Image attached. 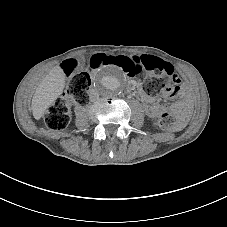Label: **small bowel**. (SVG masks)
<instances>
[{"instance_id": "1", "label": "small bowel", "mask_w": 227, "mask_h": 227, "mask_svg": "<svg viewBox=\"0 0 227 227\" xmlns=\"http://www.w3.org/2000/svg\"><path fill=\"white\" fill-rule=\"evenodd\" d=\"M180 89V87H179ZM139 96L145 103V112L151 118L160 116L164 111V106L157 102L155 98L147 94L142 87L139 88ZM172 112L178 114L181 117V123H183L187 117V104L183 102L176 103L171 108Z\"/></svg>"}]
</instances>
